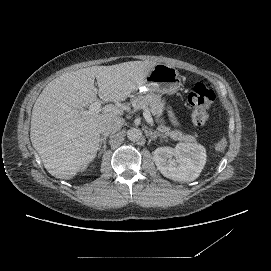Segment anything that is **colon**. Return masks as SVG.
<instances>
[{
	"instance_id": "obj_1",
	"label": "colon",
	"mask_w": 271,
	"mask_h": 271,
	"mask_svg": "<svg viewBox=\"0 0 271 271\" xmlns=\"http://www.w3.org/2000/svg\"><path fill=\"white\" fill-rule=\"evenodd\" d=\"M215 101V93L203 83L194 85L189 94L188 102L192 107V121L197 126H204L209 119V109ZM227 147V140L221 138L215 144L217 151L222 152Z\"/></svg>"
}]
</instances>
